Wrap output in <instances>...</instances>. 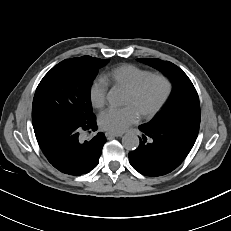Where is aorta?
Instances as JSON below:
<instances>
[{
	"instance_id": "762f6f07",
	"label": "aorta",
	"mask_w": 231,
	"mask_h": 231,
	"mask_svg": "<svg viewBox=\"0 0 231 231\" xmlns=\"http://www.w3.org/2000/svg\"><path fill=\"white\" fill-rule=\"evenodd\" d=\"M107 100L113 107L121 106L123 103V99L117 91L109 92ZM122 144L127 150H135L139 146V138L134 133H126L122 138Z\"/></svg>"
}]
</instances>
